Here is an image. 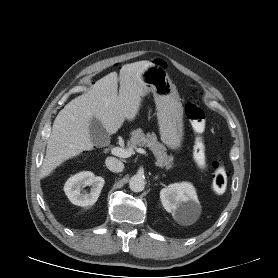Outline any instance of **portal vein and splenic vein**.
<instances>
[{"instance_id":"obj_1","label":"portal vein and splenic vein","mask_w":278,"mask_h":278,"mask_svg":"<svg viewBox=\"0 0 278 278\" xmlns=\"http://www.w3.org/2000/svg\"><path fill=\"white\" fill-rule=\"evenodd\" d=\"M136 152L140 154L146 155V151L142 148H136ZM111 153L115 156L121 157V158H128L131 157L133 154H135L134 150L132 148H121V147H114L111 149Z\"/></svg>"}]
</instances>
